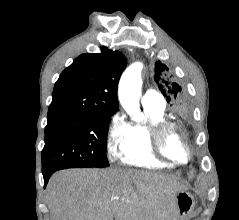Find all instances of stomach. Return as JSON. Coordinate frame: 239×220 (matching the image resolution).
<instances>
[{
  "instance_id": "obj_1",
  "label": "stomach",
  "mask_w": 239,
  "mask_h": 220,
  "mask_svg": "<svg viewBox=\"0 0 239 220\" xmlns=\"http://www.w3.org/2000/svg\"><path fill=\"white\" fill-rule=\"evenodd\" d=\"M176 212L180 219L188 216L194 208L193 196L187 191H180L175 194Z\"/></svg>"
}]
</instances>
